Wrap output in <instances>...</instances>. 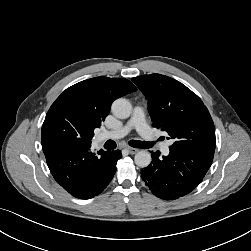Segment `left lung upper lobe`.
I'll use <instances>...</instances> for the list:
<instances>
[{
    "mask_svg": "<svg viewBox=\"0 0 251 251\" xmlns=\"http://www.w3.org/2000/svg\"><path fill=\"white\" fill-rule=\"evenodd\" d=\"M148 101L153 127L175 141L170 149L216 147L215 127L201 99L177 80L160 74L132 78Z\"/></svg>",
    "mask_w": 251,
    "mask_h": 251,
    "instance_id": "1",
    "label": "left lung upper lobe"
}]
</instances>
